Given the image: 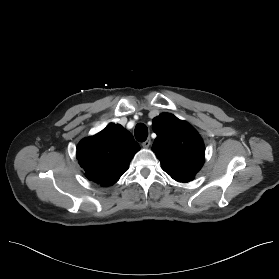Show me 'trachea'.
I'll use <instances>...</instances> for the list:
<instances>
[{
	"label": "trachea",
	"mask_w": 279,
	"mask_h": 279,
	"mask_svg": "<svg viewBox=\"0 0 279 279\" xmlns=\"http://www.w3.org/2000/svg\"><path fill=\"white\" fill-rule=\"evenodd\" d=\"M135 138L139 142H144L148 136V129L145 124L139 123L136 125L134 130Z\"/></svg>",
	"instance_id": "1"
}]
</instances>
